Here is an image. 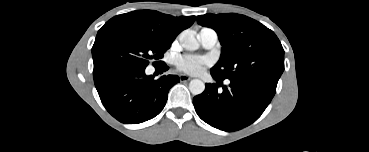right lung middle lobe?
Wrapping results in <instances>:
<instances>
[{
    "mask_svg": "<svg viewBox=\"0 0 369 152\" xmlns=\"http://www.w3.org/2000/svg\"><path fill=\"white\" fill-rule=\"evenodd\" d=\"M170 46L132 24L110 19L98 31L92 47L93 75L118 66L146 68Z\"/></svg>",
    "mask_w": 369,
    "mask_h": 152,
    "instance_id": "1",
    "label": "right lung middle lobe"
}]
</instances>
